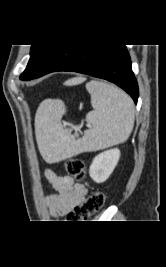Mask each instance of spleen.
<instances>
[{
    "mask_svg": "<svg viewBox=\"0 0 166 267\" xmlns=\"http://www.w3.org/2000/svg\"><path fill=\"white\" fill-rule=\"evenodd\" d=\"M93 111L86 115L91 127L75 139L61 123L64 112L54 102L40 110L36 118V139L48 162H57L82 152L104 149L125 142L134 126L132 99L114 85L92 80L86 84Z\"/></svg>",
    "mask_w": 166,
    "mask_h": 267,
    "instance_id": "spleen-1",
    "label": "spleen"
}]
</instances>
